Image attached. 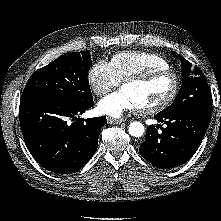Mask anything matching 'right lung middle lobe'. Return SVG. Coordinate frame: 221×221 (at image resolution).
I'll list each match as a JSON object with an SVG mask.
<instances>
[{"instance_id": "obj_1", "label": "right lung middle lobe", "mask_w": 221, "mask_h": 221, "mask_svg": "<svg viewBox=\"0 0 221 221\" xmlns=\"http://www.w3.org/2000/svg\"><path fill=\"white\" fill-rule=\"evenodd\" d=\"M90 66L89 51L65 54L33 73L21 98L37 95L88 104L93 101L87 79Z\"/></svg>"}]
</instances>
